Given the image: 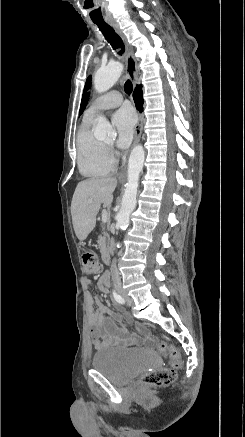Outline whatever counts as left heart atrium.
I'll use <instances>...</instances> for the list:
<instances>
[{
    "mask_svg": "<svg viewBox=\"0 0 245 437\" xmlns=\"http://www.w3.org/2000/svg\"><path fill=\"white\" fill-rule=\"evenodd\" d=\"M112 122L117 131V146L121 149L127 148L132 141L136 126L135 112L128 106L122 107L114 113Z\"/></svg>",
    "mask_w": 245,
    "mask_h": 437,
    "instance_id": "obj_1",
    "label": "left heart atrium"
}]
</instances>
